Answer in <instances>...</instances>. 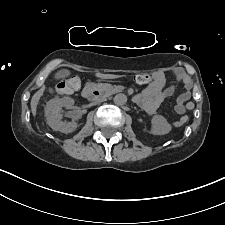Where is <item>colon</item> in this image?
Returning a JSON list of instances; mask_svg holds the SVG:
<instances>
[{"instance_id":"5ec220e1","label":"colon","mask_w":225,"mask_h":225,"mask_svg":"<svg viewBox=\"0 0 225 225\" xmlns=\"http://www.w3.org/2000/svg\"><path fill=\"white\" fill-rule=\"evenodd\" d=\"M153 80V77L148 74H139L134 77V81L138 84H147ZM81 84V80L78 76H73L67 79L60 80L54 88H51L50 91H56L59 94H70L76 89L79 88ZM184 108L187 110H191L194 108V104L192 102H188L184 105ZM187 122L186 118H182L179 121V126L185 124Z\"/></svg>"}]
</instances>
